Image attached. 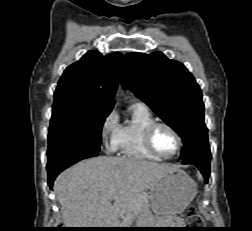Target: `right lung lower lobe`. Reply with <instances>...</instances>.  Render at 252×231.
<instances>
[{"label": "right lung lower lobe", "instance_id": "right-lung-lower-lobe-1", "mask_svg": "<svg viewBox=\"0 0 252 231\" xmlns=\"http://www.w3.org/2000/svg\"><path fill=\"white\" fill-rule=\"evenodd\" d=\"M98 155V151H78L65 153L60 156H57L53 159L48 160L47 162V171H48V185L52 188L53 182L57 175L62 172L64 169L75 164L76 162L95 157Z\"/></svg>", "mask_w": 252, "mask_h": 231}]
</instances>
